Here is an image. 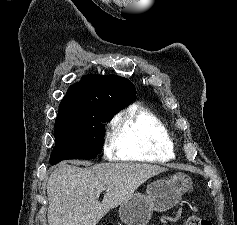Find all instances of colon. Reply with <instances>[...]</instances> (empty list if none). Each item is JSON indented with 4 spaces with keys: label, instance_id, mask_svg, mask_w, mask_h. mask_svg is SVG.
<instances>
[{
    "label": "colon",
    "instance_id": "colon-1",
    "mask_svg": "<svg viewBox=\"0 0 237 225\" xmlns=\"http://www.w3.org/2000/svg\"><path fill=\"white\" fill-rule=\"evenodd\" d=\"M108 225H112V224H108ZM186 225H213V224L208 219H205L196 215H191L187 218Z\"/></svg>",
    "mask_w": 237,
    "mask_h": 225
}]
</instances>
